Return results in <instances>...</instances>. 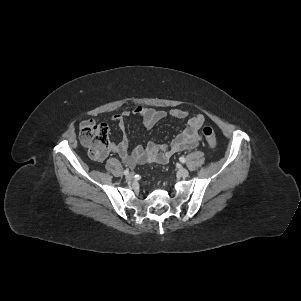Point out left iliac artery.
Listing matches in <instances>:
<instances>
[{
	"mask_svg": "<svg viewBox=\"0 0 301 301\" xmlns=\"http://www.w3.org/2000/svg\"><path fill=\"white\" fill-rule=\"evenodd\" d=\"M179 160L181 163H185V161H186L184 157H180Z\"/></svg>",
	"mask_w": 301,
	"mask_h": 301,
	"instance_id": "obj_1",
	"label": "left iliac artery"
}]
</instances>
